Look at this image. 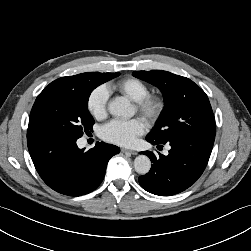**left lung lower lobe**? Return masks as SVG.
Here are the masks:
<instances>
[{
  "mask_svg": "<svg viewBox=\"0 0 251 251\" xmlns=\"http://www.w3.org/2000/svg\"><path fill=\"white\" fill-rule=\"evenodd\" d=\"M152 145L162 147L163 143L146 138ZM215 134H188L166 142L171 149L167 156L143 151L153 165L150 171L139 177V183L146 191L170 196L189 188L202 175L208 163ZM164 143V144H166Z\"/></svg>",
  "mask_w": 251,
  "mask_h": 251,
  "instance_id": "left-lung-lower-lobe-1",
  "label": "left lung lower lobe"
}]
</instances>
